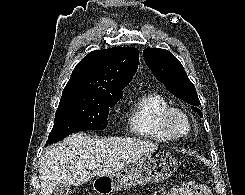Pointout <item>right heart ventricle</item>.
I'll return each instance as SVG.
<instances>
[{"mask_svg": "<svg viewBox=\"0 0 245 195\" xmlns=\"http://www.w3.org/2000/svg\"><path fill=\"white\" fill-rule=\"evenodd\" d=\"M168 107V100L158 92L148 91L139 94L127 107V132L143 139L169 141L159 127L160 114Z\"/></svg>", "mask_w": 245, "mask_h": 195, "instance_id": "obj_1", "label": "right heart ventricle"}]
</instances>
